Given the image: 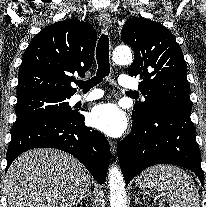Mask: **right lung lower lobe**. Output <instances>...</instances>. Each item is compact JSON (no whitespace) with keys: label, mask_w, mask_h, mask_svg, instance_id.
Listing matches in <instances>:
<instances>
[{"label":"right lung lower lobe","mask_w":206,"mask_h":207,"mask_svg":"<svg viewBox=\"0 0 206 207\" xmlns=\"http://www.w3.org/2000/svg\"><path fill=\"white\" fill-rule=\"evenodd\" d=\"M56 148L66 151L81 161L103 184L110 162L107 139L98 131L85 126L84 115L74 114L43 117L14 125L7 150V167L21 153L33 148Z\"/></svg>","instance_id":"98d812e1"}]
</instances>
